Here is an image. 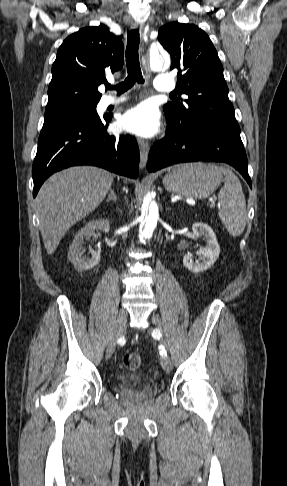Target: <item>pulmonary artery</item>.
I'll return each instance as SVG.
<instances>
[{
  "label": "pulmonary artery",
  "instance_id": "pulmonary-artery-1",
  "mask_svg": "<svg viewBox=\"0 0 287 486\" xmlns=\"http://www.w3.org/2000/svg\"><path fill=\"white\" fill-rule=\"evenodd\" d=\"M176 87L174 79L169 75H159L155 80V88L159 92H172ZM125 100L124 97L114 98L111 96L104 97L105 105L119 104Z\"/></svg>",
  "mask_w": 287,
  "mask_h": 486
}]
</instances>
